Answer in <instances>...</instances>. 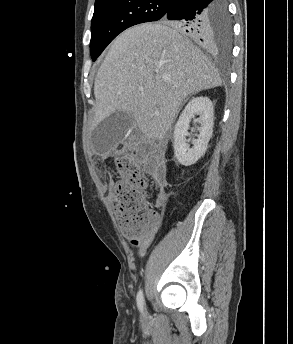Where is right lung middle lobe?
I'll return each instance as SVG.
<instances>
[{
    "label": "right lung middle lobe",
    "mask_w": 293,
    "mask_h": 344,
    "mask_svg": "<svg viewBox=\"0 0 293 344\" xmlns=\"http://www.w3.org/2000/svg\"><path fill=\"white\" fill-rule=\"evenodd\" d=\"M172 0H110L95 4L91 22L90 52L95 61L107 45L125 29L164 19ZM210 18L212 45L228 51L232 28L225 0H218ZM179 27L178 23H172Z\"/></svg>",
    "instance_id": "dd1d6c3e"
}]
</instances>
